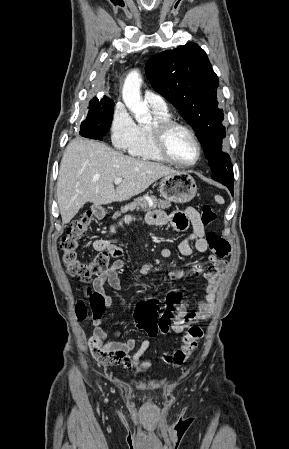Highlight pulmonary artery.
<instances>
[{"instance_id": "e3ab8cb5", "label": "pulmonary artery", "mask_w": 289, "mask_h": 449, "mask_svg": "<svg viewBox=\"0 0 289 449\" xmlns=\"http://www.w3.org/2000/svg\"><path fill=\"white\" fill-rule=\"evenodd\" d=\"M144 99L150 105L151 108L157 110H167V105L165 100L158 94L146 90L144 92Z\"/></svg>"}]
</instances>
